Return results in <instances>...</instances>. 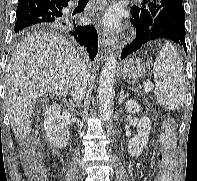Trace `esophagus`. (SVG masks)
Listing matches in <instances>:
<instances>
[{"instance_id":"1","label":"esophagus","mask_w":197,"mask_h":181,"mask_svg":"<svg viewBox=\"0 0 197 181\" xmlns=\"http://www.w3.org/2000/svg\"><path fill=\"white\" fill-rule=\"evenodd\" d=\"M100 44L102 50L107 53L110 52L112 49V46L114 44V40L110 33L106 30H102L100 33Z\"/></svg>"}]
</instances>
